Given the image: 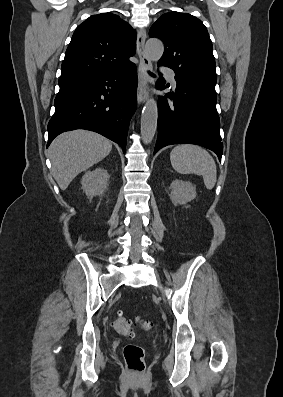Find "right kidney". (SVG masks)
<instances>
[{"label":"right kidney","instance_id":"ca27d5eb","mask_svg":"<svg viewBox=\"0 0 283 397\" xmlns=\"http://www.w3.org/2000/svg\"><path fill=\"white\" fill-rule=\"evenodd\" d=\"M109 174L104 168L87 171L82 177V189L88 198L101 195L107 189Z\"/></svg>","mask_w":283,"mask_h":397}]
</instances>
